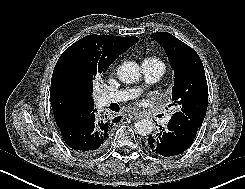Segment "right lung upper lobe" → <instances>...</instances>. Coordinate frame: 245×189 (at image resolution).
<instances>
[{"mask_svg":"<svg viewBox=\"0 0 245 189\" xmlns=\"http://www.w3.org/2000/svg\"><path fill=\"white\" fill-rule=\"evenodd\" d=\"M138 41V37L88 35L67 48L54 68L50 99L56 124L81 116L94 107L89 91L83 89L88 75L103 74Z\"/></svg>","mask_w":245,"mask_h":189,"instance_id":"1","label":"right lung upper lobe"}]
</instances>
